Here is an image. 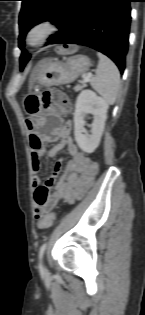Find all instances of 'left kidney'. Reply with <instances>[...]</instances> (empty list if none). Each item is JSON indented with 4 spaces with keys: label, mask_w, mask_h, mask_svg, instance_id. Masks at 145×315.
Instances as JSON below:
<instances>
[{
    "label": "left kidney",
    "mask_w": 145,
    "mask_h": 315,
    "mask_svg": "<svg viewBox=\"0 0 145 315\" xmlns=\"http://www.w3.org/2000/svg\"><path fill=\"white\" fill-rule=\"evenodd\" d=\"M108 108V103L89 89L78 95L74 112V136L82 151L92 153L99 146ZM87 114L93 115L90 135L84 128V118Z\"/></svg>",
    "instance_id": "obj_1"
}]
</instances>
